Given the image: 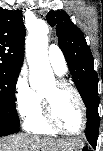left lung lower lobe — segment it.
Here are the masks:
<instances>
[{"mask_svg": "<svg viewBox=\"0 0 103 151\" xmlns=\"http://www.w3.org/2000/svg\"><path fill=\"white\" fill-rule=\"evenodd\" d=\"M99 97L98 92L87 101V128L86 137L88 142L95 149L97 144V138L99 133V114H98Z\"/></svg>", "mask_w": 103, "mask_h": 151, "instance_id": "0a47b994", "label": "left lung lower lobe"}]
</instances>
